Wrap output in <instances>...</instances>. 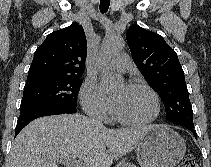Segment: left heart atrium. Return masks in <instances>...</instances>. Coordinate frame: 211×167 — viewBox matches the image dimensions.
Returning <instances> with one entry per match:
<instances>
[{
  "mask_svg": "<svg viewBox=\"0 0 211 167\" xmlns=\"http://www.w3.org/2000/svg\"><path fill=\"white\" fill-rule=\"evenodd\" d=\"M122 97V92L114 95L111 100L112 107L116 110Z\"/></svg>",
  "mask_w": 211,
  "mask_h": 167,
  "instance_id": "obj_1",
  "label": "left heart atrium"
}]
</instances>
